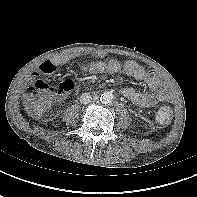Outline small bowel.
Instances as JSON below:
<instances>
[{
  "instance_id": "c3829d8e",
  "label": "small bowel",
  "mask_w": 197,
  "mask_h": 197,
  "mask_svg": "<svg viewBox=\"0 0 197 197\" xmlns=\"http://www.w3.org/2000/svg\"><path fill=\"white\" fill-rule=\"evenodd\" d=\"M95 55L98 58H104L106 56L103 51H98ZM73 57L74 55H66L55 60L43 62L36 70L35 75L53 74L61 65L68 63ZM83 70L94 75L103 73L114 74L123 70L126 75L146 82L150 87V91H138L132 87H125L121 91L124 97L142 107H150L160 101H167L173 98L170 86L163 77L155 71H146L135 61H128L122 66L117 59L107 58L104 61H93L84 66Z\"/></svg>"
}]
</instances>
